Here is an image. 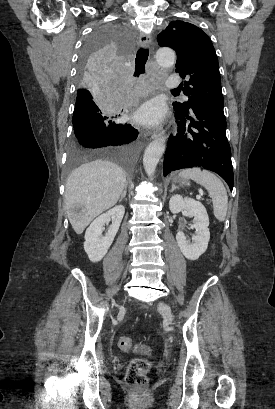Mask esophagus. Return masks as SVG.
I'll use <instances>...</instances> for the list:
<instances>
[{
	"instance_id": "34e87169",
	"label": "esophagus",
	"mask_w": 275,
	"mask_h": 409,
	"mask_svg": "<svg viewBox=\"0 0 275 409\" xmlns=\"http://www.w3.org/2000/svg\"><path fill=\"white\" fill-rule=\"evenodd\" d=\"M152 41V36L147 33H141L139 37V44L141 47H148L151 44ZM151 138L153 139H166V133L165 130L161 127L157 128L151 135Z\"/></svg>"
}]
</instances>
